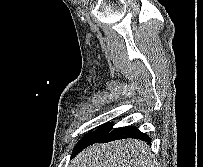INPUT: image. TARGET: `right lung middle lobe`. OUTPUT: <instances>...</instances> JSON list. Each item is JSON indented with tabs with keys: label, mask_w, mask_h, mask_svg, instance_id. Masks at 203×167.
I'll return each instance as SVG.
<instances>
[{
	"label": "right lung middle lobe",
	"mask_w": 203,
	"mask_h": 167,
	"mask_svg": "<svg viewBox=\"0 0 203 167\" xmlns=\"http://www.w3.org/2000/svg\"><path fill=\"white\" fill-rule=\"evenodd\" d=\"M112 129V125L106 124L102 127L98 128L96 131L92 132L91 134L85 136L82 140L75 147V151L73 155H76L86 144L90 143L91 141L95 140L96 138H100L107 134Z\"/></svg>",
	"instance_id": "obj_1"
}]
</instances>
